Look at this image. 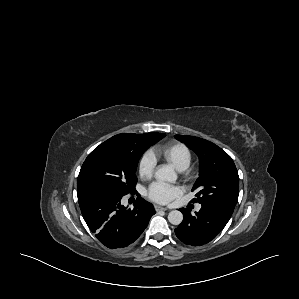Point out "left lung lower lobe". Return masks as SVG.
<instances>
[{
    "instance_id": "obj_1",
    "label": "left lung lower lobe",
    "mask_w": 299,
    "mask_h": 299,
    "mask_svg": "<svg viewBox=\"0 0 299 299\" xmlns=\"http://www.w3.org/2000/svg\"><path fill=\"white\" fill-rule=\"evenodd\" d=\"M181 211L184 219L175 229V234L182 242L192 246H201L213 240L231 217L209 205H202L195 215L184 208Z\"/></svg>"
}]
</instances>
